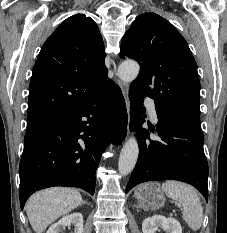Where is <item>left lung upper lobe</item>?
I'll return each instance as SVG.
<instances>
[{
  "label": "left lung upper lobe",
  "mask_w": 227,
  "mask_h": 233,
  "mask_svg": "<svg viewBox=\"0 0 227 233\" xmlns=\"http://www.w3.org/2000/svg\"><path fill=\"white\" fill-rule=\"evenodd\" d=\"M120 56L141 66L131 89L149 96L176 119L200 128L197 64L170 22L155 13L137 16L122 39Z\"/></svg>",
  "instance_id": "obj_1"
}]
</instances>
